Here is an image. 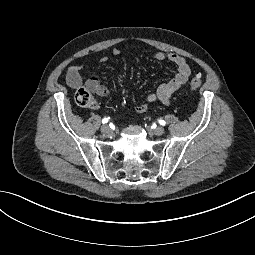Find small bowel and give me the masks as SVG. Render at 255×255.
I'll return each instance as SVG.
<instances>
[{
    "label": "small bowel",
    "mask_w": 255,
    "mask_h": 255,
    "mask_svg": "<svg viewBox=\"0 0 255 255\" xmlns=\"http://www.w3.org/2000/svg\"><path fill=\"white\" fill-rule=\"evenodd\" d=\"M112 54L114 56H119L121 54V50L114 48ZM153 57L159 61H169L176 67L177 72L170 81L161 84L154 92L146 95L145 103L136 106V111L139 113L145 112L150 103L160 102L162 104H169L174 94L188 81L191 74V69L186 59L179 54L157 52L153 55ZM107 60L108 57L104 56L100 59V62L105 63ZM82 70L83 67L81 65L71 66L68 69L66 82L71 88L77 89L83 85L84 78ZM86 84L94 89L101 97H105L108 94V89L102 85L96 77L88 79Z\"/></svg>",
    "instance_id": "c3829d8e"
}]
</instances>
